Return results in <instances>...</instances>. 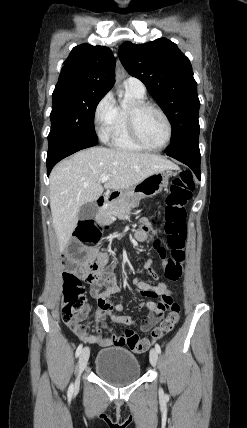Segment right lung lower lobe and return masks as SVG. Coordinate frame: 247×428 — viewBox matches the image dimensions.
<instances>
[{"label":"right lung lower lobe","mask_w":247,"mask_h":428,"mask_svg":"<svg viewBox=\"0 0 247 428\" xmlns=\"http://www.w3.org/2000/svg\"><path fill=\"white\" fill-rule=\"evenodd\" d=\"M97 141H83L73 139L55 140L49 143L47 153V175L49 176L53 166L61 159L88 147L95 146Z\"/></svg>","instance_id":"98d812e1"}]
</instances>
